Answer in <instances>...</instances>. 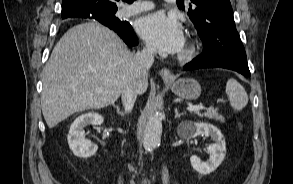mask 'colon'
<instances>
[{
    "instance_id": "5ec220e1",
    "label": "colon",
    "mask_w": 293,
    "mask_h": 184,
    "mask_svg": "<svg viewBox=\"0 0 293 184\" xmlns=\"http://www.w3.org/2000/svg\"><path fill=\"white\" fill-rule=\"evenodd\" d=\"M238 127L241 129V125L240 124H238Z\"/></svg>"
}]
</instances>
